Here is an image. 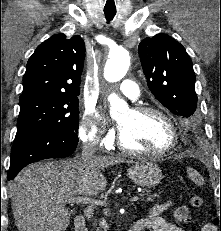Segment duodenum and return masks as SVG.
Listing matches in <instances>:
<instances>
[{
	"mask_svg": "<svg viewBox=\"0 0 221 231\" xmlns=\"http://www.w3.org/2000/svg\"><path fill=\"white\" fill-rule=\"evenodd\" d=\"M74 228L75 231H86V219L83 215L79 214L77 216H75L74 218ZM128 231H141V228L136 225L133 224Z\"/></svg>",
	"mask_w": 221,
	"mask_h": 231,
	"instance_id": "obj_1",
	"label": "duodenum"
}]
</instances>
